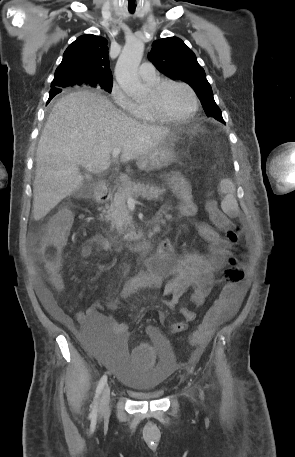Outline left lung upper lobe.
I'll use <instances>...</instances> for the list:
<instances>
[{
  "label": "left lung upper lobe",
  "mask_w": 295,
  "mask_h": 457,
  "mask_svg": "<svg viewBox=\"0 0 295 457\" xmlns=\"http://www.w3.org/2000/svg\"><path fill=\"white\" fill-rule=\"evenodd\" d=\"M148 58L165 76L190 85L206 115L225 123L204 69L197 62L194 52L180 38L168 37L154 41Z\"/></svg>",
  "instance_id": "obj_1"
}]
</instances>
